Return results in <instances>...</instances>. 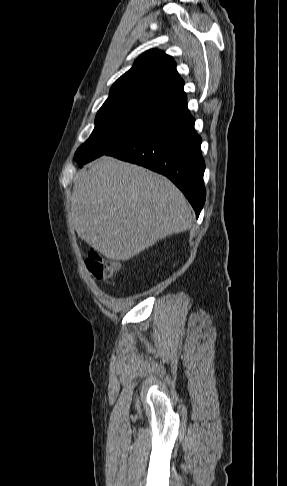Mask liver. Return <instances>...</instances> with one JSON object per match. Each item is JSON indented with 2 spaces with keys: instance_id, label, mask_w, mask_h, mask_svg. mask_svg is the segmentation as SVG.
<instances>
[{
  "instance_id": "6515ba94",
  "label": "liver",
  "mask_w": 287,
  "mask_h": 486,
  "mask_svg": "<svg viewBox=\"0 0 287 486\" xmlns=\"http://www.w3.org/2000/svg\"><path fill=\"white\" fill-rule=\"evenodd\" d=\"M71 213L78 236L116 261L192 225L191 208L169 179L109 156L77 174Z\"/></svg>"
}]
</instances>
